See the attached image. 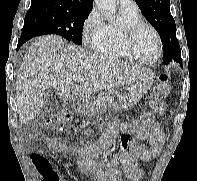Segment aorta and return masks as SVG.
<instances>
[{"mask_svg": "<svg viewBox=\"0 0 197 181\" xmlns=\"http://www.w3.org/2000/svg\"><path fill=\"white\" fill-rule=\"evenodd\" d=\"M94 2L105 16H112L116 11V0H94Z\"/></svg>", "mask_w": 197, "mask_h": 181, "instance_id": "762f6f07", "label": "aorta"}]
</instances>
